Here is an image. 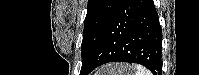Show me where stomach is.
Instances as JSON below:
<instances>
[{
  "label": "stomach",
  "instance_id": "stomach-1",
  "mask_svg": "<svg viewBox=\"0 0 199 75\" xmlns=\"http://www.w3.org/2000/svg\"><path fill=\"white\" fill-rule=\"evenodd\" d=\"M114 68V73H110V70ZM129 66L123 65V64H115V65H109L106 66L104 70V75H127V69H129ZM100 75V74H99Z\"/></svg>",
  "mask_w": 199,
  "mask_h": 75
}]
</instances>
